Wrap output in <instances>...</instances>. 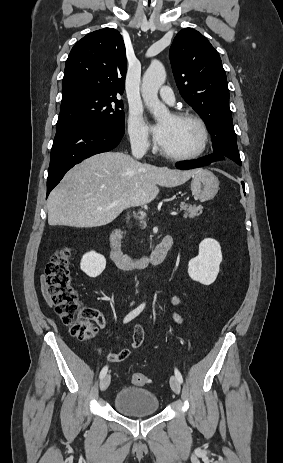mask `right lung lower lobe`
Wrapping results in <instances>:
<instances>
[{"mask_svg": "<svg viewBox=\"0 0 283 463\" xmlns=\"http://www.w3.org/2000/svg\"><path fill=\"white\" fill-rule=\"evenodd\" d=\"M124 131L98 124H82L57 131L51 149L47 196L75 164L107 152L121 141Z\"/></svg>", "mask_w": 283, "mask_h": 463, "instance_id": "right-lung-lower-lobe-1", "label": "right lung lower lobe"}]
</instances>
